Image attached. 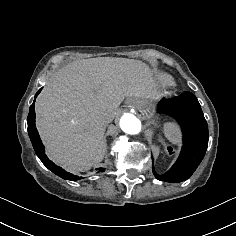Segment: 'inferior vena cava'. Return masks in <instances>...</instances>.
<instances>
[{"instance_id": "obj_1", "label": "inferior vena cava", "mask_w": 236, "mask_h": 236, "mask_svg": "<svg viewBox=\"0 0 236 236\" xmlns=\"http://www.w3.org/2000/svg\"><path fill=\"white\" fill-rule=\"evenodd\" d=\"M113 121H114V117H113L111 114H108V115L105 117V122H106V123L111 124Z\"/></svg>"}]
</instances>
